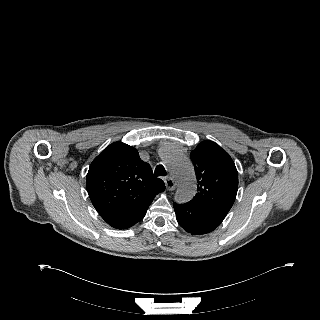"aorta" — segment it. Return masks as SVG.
Listing matches in <instances>:
<instances>
[{
	"label": "aorta",
	"instance_id": "762f6f07",
	"mask_svg": "<svg viewBox=\"0 0 320 320\" xmlns=\"http://www.w3.org/2000/svg\"><path fill=\"white\" fill-rule=\"evenodd\" d=\"M163 161L177 181L175 201H190L196 192V177L191 161L182 153L169 149L163 155Z\"/></svg>",
	"mask_w": 320,
	"mask_h": 320
}]
</instances>
